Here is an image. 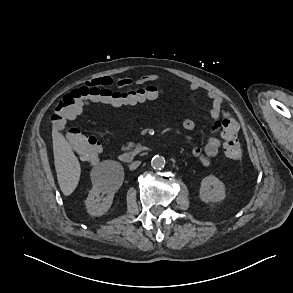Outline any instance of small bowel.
<instances>
[{"label": "small bowel", "instance_id": "1", "mask_svg": "<svg viewBox=\"0 0 293 293\" xmlns=\"http://www.w3.org/2000/svg\"><path fill=\"white\" fill-rule=\"evenodd\" d=\"M158 79H159L158 75L148 74V75H144L138 79L122 78V79H119L116 82V84L118 87L123 88V87H128L133 84L144 85L147 83L157 81ZM94 83L112 84L113 80L109 76H104V77L94 79L90 82V84H94ZM146 88L151 89V92H149L147 95L142 96L140 99L129 101V102H124L121 104L112 103L111 105L114 107L134 106V105L143 103L145 101L155 100L162 94V90L159 87L150 85ZM189 88L192 91H197L200 89V86L195 82H191L189 84ZM207 97L211 100L210 115L214 120V122L211 126V132L214 133L220 127L219 118L220 117L228 118V117H230V113L223 109V101H222L221 97L215 91L208 90ZM87 105H88V103H86L83 106V108ZM82 110H81V112H82ZM196 126H197V124H196L195 120H193L192 118H185L183 120V127L187 130H193L196 128ZM220 147H221V141L217 137L211 136L207 140L203 149L200 147L193 148L192 156L195 159L199 160L200 163L203 164L204 166H208L211 163L212 159L217 156V154L220 150Z\"/></svg>", "mask_w": 293, "mask_h": 293}]
</instances>
